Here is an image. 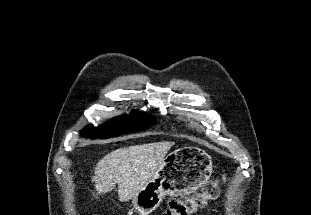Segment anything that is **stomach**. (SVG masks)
Returning <instances> with one entry per match:
<instances>
[{
	"mask_svg": "<svg viewBox=\"0 0 311 215\" xmlns=\"http://www.w3.org/2000/svg\"><path fill=\"white\" fill-rule=\"evenodd\" d=\"M212 159L198 147H183L169 153L154 176L132 200L142 213L155 210L166 195L182 196L196 192L209 180Z\"/></svg>",
	"mask_w": 311,
	"mask_h": 215,
	"instance_id": "obj_1",
	"label": "stomach"
}]
</instances>
